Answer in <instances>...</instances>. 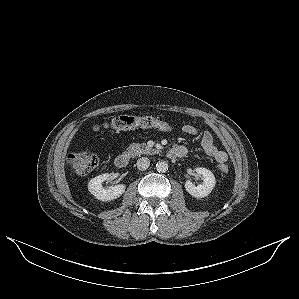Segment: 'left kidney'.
<instances>
[{
  "mask_svg": "<svg viewBox=\"0 0 299 299\" xmlns=\"http://www.w3.org/2000/svg\"><path fill=\"white\" fill-rule=\"evenodd\" d=\"M195 172L202 176L203 182L200 185L195 186L190 180H188L185 182V189L193 197H206L211 193L215 186V176L210 170L202 167L196 168Z\"/></svg>",
  "mask_w": 299,
  "mask_h": 299,
  "instance_id": "5707ae66",
  "label": "left kidney"
}]
</instances>
